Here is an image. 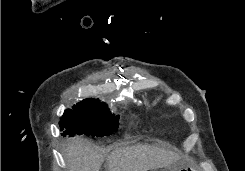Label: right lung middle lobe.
I'll return each instance as SVG.
<instances>
[{"label": "right lung middle lobe", "instance_id": "obj_1", "mask_svg": "<svg viewBox=\"0 0 245 171\" xmlns=\"http://www.w3.org/2000/svg\"><path fill=\"white\" fill-rule=\"evenodd\" d=\"M119 116L111 115L106 104L97 101H83L72 110H66L60 121L65 135H87L103 137L118 129Z\"/></svg>", "mask_w": 245, "mask_h": 171}]
</instances>
